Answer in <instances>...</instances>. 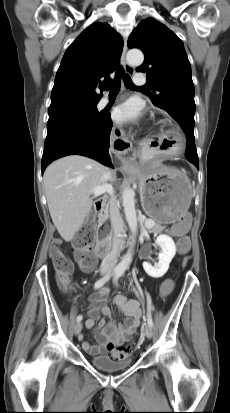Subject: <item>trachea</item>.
Segmentation results:
<instances>
[{
    "label": "trachea",
    "mask_w": 230,
    "mask_h": 413,
    "mask_svg": "<svg viewBox=\"0 0 230 413\" xmlns=\"http://www.w3.org/2000/svg\"><path fill=\"white\" fill-rule=\"evenodd\" d=\"M122 74H123L122 79H123L124 85L130 89L135 88L130 76L126 73H123L122 68H119L118 71L116 72V76L114 80L111 83L102 84L101 89L110 90L111 95L117 94L120 90V80H121Z\"/></svg>",
    "instance_id": "obj_1"
}]
</instances>
